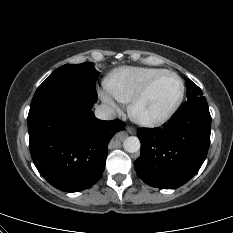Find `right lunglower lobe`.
<instances>
[{
  "mask_svg": "<svg viewBox=\"0 0 233 233\" xmlns=\"http://www.w3.org/2000/svg\"><path fill=\"white\" fill-rule=\"evenodd\" d=\"M97 97L57 95L30 106L29 145L39 173L53 187L79 192L101 177L108 143L125 123L97 119L90 107Z\"/></svg>",
  "mask_w": 233,
  "mask_h": 233,
  "instance_id": "1",
  "label": "right lung lower lobe"
}]
</instances>
